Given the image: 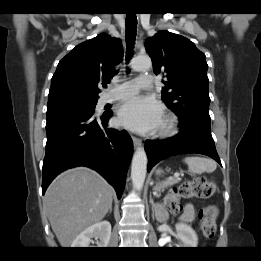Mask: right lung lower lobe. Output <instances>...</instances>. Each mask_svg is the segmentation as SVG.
Listing matches in <instances>:
<instances>
[{
  "instance_id": "obj_1",
  "label": "right lung lower lobe",
  "mask_w": 261,
  "mask_h": 261,
  "mask_svg": "<svg viewBox=\"0 0 261 261\" xmlns=\"http://www.w3.org/2000/svg\"><path fill=\"white\" fill-rule=\"evenodd\" d=\"M112 115L96 117L94 113L66 111L47 116L43 194L62 171L87 166L113 185L121 198L133 143L125 130L107 128Z\"/></svg>"
}]
</instances>
